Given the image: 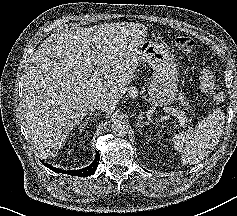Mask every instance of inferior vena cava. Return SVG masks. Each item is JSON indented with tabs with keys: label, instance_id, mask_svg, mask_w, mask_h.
<instances>
[{
	"label": "inferior vena cava",
	"instance_id": "inferior-vena-cava-1",
	"mask_svg": "<svg viewBox=\"0 0 237 216\" xmlns=\"http://www.w3.org/2000/svg\"><path fill=\"white\" fill-rule=\"evenodd\" d=\"M116 104H111L109 100L105 99L104 97L101 99H94L88 107L90 109H97L106 112H114Z\"/></svg>",
	"mask_w": 237,
	"mask_h": 216
}]
</instances>
